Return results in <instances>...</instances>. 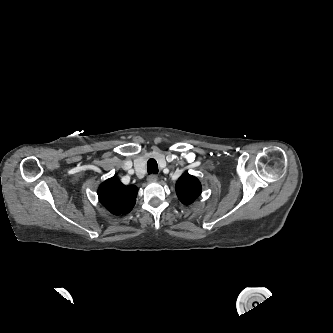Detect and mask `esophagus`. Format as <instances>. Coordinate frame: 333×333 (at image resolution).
<instances>
[{
  "mask_svg": "<svg viewBox=\"0 0 333 333\" xmlns=\"http://www.w3.org/2000/svg\"><path fill=\"white\" fill-rule=\"evenodd\" d=\"M149 182H156L158 180V176L156 174H151L147 177Z\"/></svg>",
  "mask_w": 333,
  "mask_h": 333,
  "instance_id": "obj_1",
  "label": "esophagus"
}]
</instances>
